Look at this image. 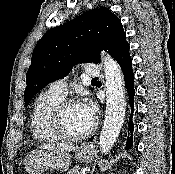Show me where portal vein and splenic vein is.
<instances>
[{
    "mask_svg": "<svg viewBox=\"0 0 175 174\" xmlns=\"http://www.w3.org/2000/svg\"><path fill=\"white\" fill-rule=\"evenodd\" d=\"M80 174H86L85 170L81 171Z\"/></svg>",
    "mask_w": 175,
    "mask_h": 174,
    "instance_id": "18ae733b",
    "label": "portal vein and splenic vein"
}]
</instances>
